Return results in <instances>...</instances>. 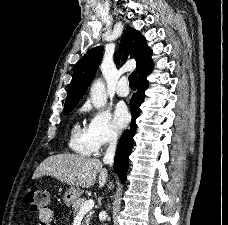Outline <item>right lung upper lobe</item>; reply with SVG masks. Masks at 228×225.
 Instances as JSON below:
<instances>
[{"label": "right lung upper lobe", "mask_w": 228, "mask_h": 225, "mask_svg": "<svg viewBox=\"0 0 228 225\" xmlns=\"http://www.w3.org/2000/svg\"><path fill=\"white\" fill-rule=\"evenodd\" d=\"M119 50L124 54L123 59L126 60L128 55L135 57L136 72L149 64L152 59L151 49L147 47L146 39L142 34L132 27H128L121 40ZM103 48L101 46L89 50L76 64L71 83L69 85L68 95L65 101V107L77 104L79 99L86 91L88 85L95 76L96 68L100 63ZM114 60L119 61L117 55Z\"/></svg>", "instance_id": "1"}]
</instances>
